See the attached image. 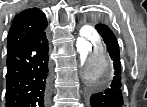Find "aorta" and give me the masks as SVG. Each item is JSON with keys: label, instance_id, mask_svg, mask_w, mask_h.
I'll return each instance as SVG.
<instances>
[{"label": "aorta", "instance_id": "obj_1", "mask_svg": "<svg viewBox=\"0 0 147 107\" xmlns=\"http://www.w3.org/2000/svg\"><path fill=\"white\" fill-rule=\"evenodd\" d=\"M77 51L83 62V76L88 86L105 85L113 76V65L99 35L85 27L76 41Z\"/></svg>", "mask_w": 147, "mask_h": 107}]
</instances>
